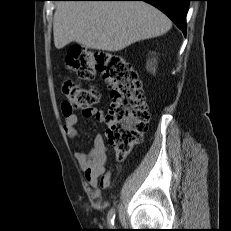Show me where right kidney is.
I'll use <instances>...</instances> for the list:
<instances>
[{
    "label": "right kidney",
    "mask_w": 231,
    "mask_h": 231,
    "mask_svg": "<svg viewBox=\"0 0 231 231\" xmlns=\"http://www.w3.org/2000/svg\"><path fill=\"white\" fill-rule=\"evenodd\" d=\"M155 62H156V59L154 58L153 62L151 60L148 63L147 69L150 70L151 72H155Z\"/></svg>",
    "instance_id": "1"
}]
</instances>
